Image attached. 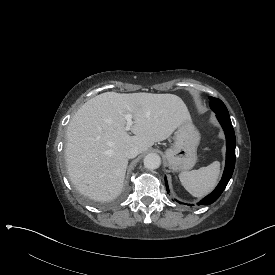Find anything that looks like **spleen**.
<instances>
[{"label": "spleen", "instance_id": "spleen-1", "mask_svg": "<svg viewBox=\"0 0 275 275\" xmlns=\"http://www.w3.org/2000/svg\"><path fill=\"white\" fill-rule=\"evenodd\" d=\"M220 163L214 161L207 167L198 170L185 171L179 174L184 188L194 197H202L210 193L218 182Z\"/></svg>", "mask_w": 275, "mask_h": 275}]
</instances>
